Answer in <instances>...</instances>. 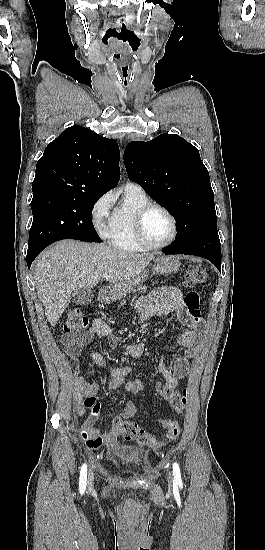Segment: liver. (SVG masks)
Listing matches in <instances>:
<instances>
[{"mask_svg":"<svg viewBox=\"0 0 265 550\" xmlns=\"http://www.w3.org/2000/svg\"><path fill=\"white\" fill-rule=\"evenodd\" d=\"M153 259L151 254H127L102 243L63 240L47 248L34 262V283L51 326H56L74 291L91 289L107 273L117 295Z\"/></svg>","mask_w":265,"mask_h":550,"instance_id":"obj_1","label":"liver"}]
</instances>
